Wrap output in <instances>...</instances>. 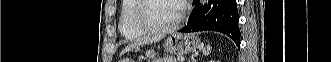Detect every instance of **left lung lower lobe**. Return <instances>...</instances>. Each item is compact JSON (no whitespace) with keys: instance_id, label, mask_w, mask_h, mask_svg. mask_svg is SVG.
Instances as JSON below:
<instances>
[{"instance_id":"1","label":"left lung lower lobe","mask_w":331,"mask_h":62,"mask_svg":"<svg viewBox=\"0 0 331 62\" xmlns=\"http://www.w3.org/2000/svg\"><path fill=\"white\" fill-rule=\"evenodd\" d=\"M193 4V14L179 32L219 31L231 37L239 47L241 34L236 0H210L202 8H199V0H193Z\"/></svg>"}]
</instances>
